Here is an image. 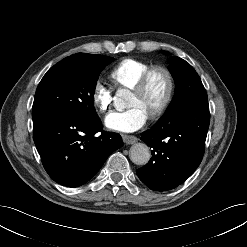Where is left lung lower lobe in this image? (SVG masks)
Masks as SVG:
<instances>
[{
  "label": "left lung lower lobe",
  "mask_w": 247,
  "mask_h": 247,
  "mask_svg": "<svg viewBox=\"0 0 247 247\" xmlns=\"http://www.w3.org/2000/svg\"><path fill=\"white\" fill-rule=\"evenodd\" d=\"M209 122L208 99H200L143 132L141 140L152 148V157L136 170L140 180L155 191L183 183L202 161Z\"/></svg>",
  "instance_id": "0a47b994"
}]
</instances>
